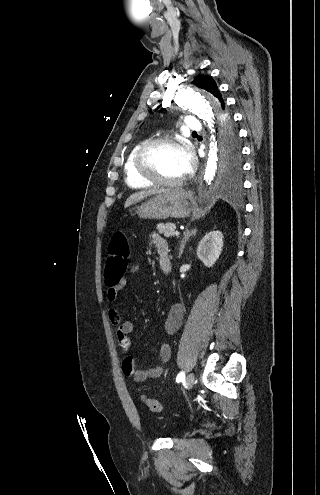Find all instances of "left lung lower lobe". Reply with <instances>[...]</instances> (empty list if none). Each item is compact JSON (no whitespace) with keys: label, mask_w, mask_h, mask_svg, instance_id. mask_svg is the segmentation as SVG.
I'll use <instances>...</instances> for the list:
<instances>
[{"label":"left lung lower lobe","mask_w":320,"mask_h":495,"mask_svg":"<svg viewBox=\"0 0 320 495\" xmlns=\"http://www.w3.org/2000/svg\"><path fill=\"white\" fill-rule=\"evenodd\" d=\"M226 115H228L227 121L229 122V124H230V125H233V119H232V116H231L228 112H226V113H225V116H226Z\"/></svg>","instance_id":"0a47b994"}]
</instances>
